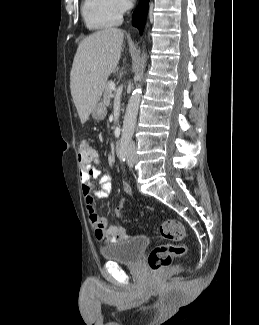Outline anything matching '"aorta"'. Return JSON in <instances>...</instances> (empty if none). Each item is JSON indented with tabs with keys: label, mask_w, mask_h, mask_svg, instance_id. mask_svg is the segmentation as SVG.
Segmentation results:
<instances>
[{
	"label": "aorta",
	"mask_w": 259,
	"mask_h": 325,
	"mask_svg": "<svg viewBox=\"0 0 259 325\" xmlns=\"http://www.w3.org/2000/svg\"><path fill=\"white\" fill-rule=\"evenodd\" d=\"M145 55H142L141 59V69L137 76L139 84L136 86L135 90L133 91L126 108L123 127H122V139L123 140H131L134 134L137 114L139 109V104L142 95V79L144 76V67H145Z\"/></svg>",
	"instance_id": "1"
}]
</instances>
